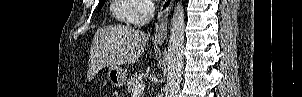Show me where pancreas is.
I'll list each match as a JSON object with an SVG mask.
<instances>
[{"mask_svg": "<svg viewBox=\"0 0 302 97\" xmlns=\"http://www.w3.org/2000/svg\"><path fill=\"white\" fill-rule=\"evenodd\" d=\"M142 82V77L138 73H135L133 77H131L127 82V91L133 92L136 84Z\"/></svg>", "mask_w": 302, "mask_h": 97, "instance_id": "pancreas-1", "label": "pancreas"}]
</instances>
